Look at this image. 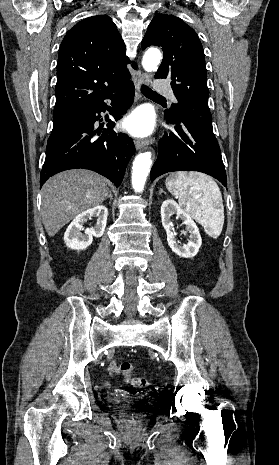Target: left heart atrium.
<instances>
[{
    "instance_id": "1",
    "label": "left heart atrium",
    "mask_w": 279,
    "mask_h": 465,
    "mask_svg": "<svg viewBox=\"0 0 279 465\" xmlns=\"http://www.w3.org/2000/svg\"><path fill=\"white\" fill-rule=\"evenodd\" d=\"M122 126L133 136L145 137L154 130V116L148 109L139 108L125 118Z\"/></svg>"
}]
</instances>
